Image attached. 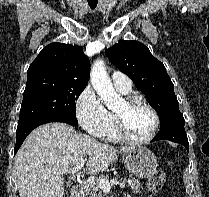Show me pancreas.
Here are the masks:
<instances>
[{
    "mask_svg": "<svg viewBox=\"0 0 209 197\" xmlns=\"http://www.w3.org/2000/svg\"><path fill=\"white\" fill-rule=\"evenodd\" d=\"M99 179L109 180V177L106 175V176L100 177ZM128 186L132 189L133 193H140L141 192L140 191L141 184H140L139 179L131 177L128 182ZM84 189H85L86 194L90 195L89 197H103L101 188H99V186L95 182L88 183L84 187Z\"/></svg>",
    "mask_w": 209,
    "mask_h": 197,
    "instance_id": "obj_1",
    "label": "pancreas"
}]
</instances>
